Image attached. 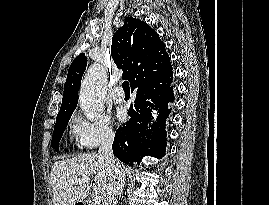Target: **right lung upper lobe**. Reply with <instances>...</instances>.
Listing matches in <instances>:
<instances>
[{"mask_svg": "<svg viewBox=\"0 0 269 205\" xmlns=\"http://www.w3.org/2000/svg\"><path fill=\"white\" fill-rule=\"evenodd\" d=\"M111 55L117 67L123 70L122 77L130 81L132 90L172 79L173 71L165 44L149 25L139 19H125L124 25L113 36ZM86 64L84 53L71 63L56 119L71 115L75 110Z\"/></svg>", "mask_w": 269, "mask_h": 205, "instance_id": "right-lung-upper-lobe-1", "label": "right lung upper lobe"}]
</instances>
